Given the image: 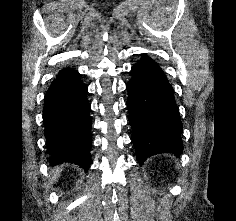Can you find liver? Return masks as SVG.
I'll return each mask as SVG.
<instances>
[{"label": "liver", "instance_id": "liver-1", "mask_svg": "<svg viewBox=\"0 0 236 221\" xmlns=\"http://www.w3.org/2000/svg\"><path fill=\"white\" fill-rule=\"evenodd\" d=\"M61 172V169L59 167L55 168L52 172V181L56 180L58 178L59 174Z\"/></svg>", "mask_w": 236, "mask_h": 221}]
</instances>
